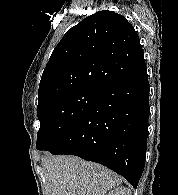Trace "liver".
Instances as JSON below:
<instances>
[{"instance_id": "6515ba94", "label": "liver", "mask_w": 178, "mask_h": 195, "mask_svg": "<svg viewBox=\"0 0 178 195\" xmlns=\"http://www.w3.org/2000/svg\"><path fill=\"white\" fill-rule=\"evenodd\" d=\"M42 166L47 195H106L122 182L108 168L76 156L46 155Z\"/></svg>"}]
</instances>
